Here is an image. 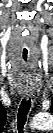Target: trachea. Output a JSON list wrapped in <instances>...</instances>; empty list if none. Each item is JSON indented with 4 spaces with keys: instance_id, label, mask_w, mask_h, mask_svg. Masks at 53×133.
<instances>
[{
    "instance_id": "obj_1",
    "label": "trachea",
    "mask_w": 53,
    "mask_h": 133,
    "mask_svg": "<svg viewBox=\"0 0 53 133\" xmlns=\"http://www.w3.org/2000/svg\"><path fill=\"white\" fill-rule=\"evenodd\" d=\"M30 107H31V100L23 99L17 114V127L19 133H24L23 129L27 120V114L29 112Z\"/></svg>"
}]
</instances>
